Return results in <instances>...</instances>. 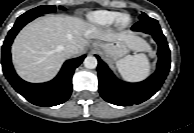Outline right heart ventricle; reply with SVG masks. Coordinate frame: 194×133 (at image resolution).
I'll return each mask as SVG.
<instances>
[{
	"label": "right heart ventricle",
	"mask_w": 194,
	"mask_h": 133,
	"mask_svg": "<svg viewBox=\"0 0 194 133\" xmlns=\"http://www.w3.org/2000/svg\"><path fill=\"white\" fill-rule=\"evenodd\" d=\"M121 13L111 10H98L90 14L89 20L99 27H110L116 23Z\"/></svg>",
	"instance_id": "right-heart-ventricle-1"
}]
</instances>
